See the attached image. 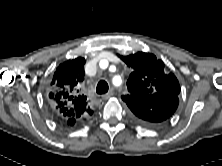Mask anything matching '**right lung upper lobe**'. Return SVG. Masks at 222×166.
<instances>
[{"mask_svg": "<svg viewBox=\"0 0 222 166\" xmlns=\"http://www.w3.org/2000/svg\"><path fill=\"white\" fill-rule=\"evenodd\" d=\"M84 64L82 57L60 64L48 90V101L54 114L70 124L92 114L87 97L79 93L85 75Z\"/></svg>", "mask_w": 222, "mask_h": 166, "instance_id": "cb5924a9", "label": "right lung upper lobe"}]
</instances>
